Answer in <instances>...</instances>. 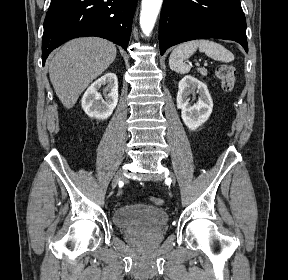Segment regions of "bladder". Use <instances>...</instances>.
I'll use <instances>...</instances> for the list:
<instances>
[{
    "mask_svg": "<svg viewBox=\"0 0 288 280\" xmlns=\"http://www.w3.org/2000/svg\"><path fill=\"white\" fill-rule=\"evenodd\" d=\"M112 220L121 229L161 231L167 225L169 216L162 208L134 204L117 208L113 212Z\"/></svg>",
    "mask_w": 288,
    "mask_h": 280,
    "instance_id": "1",
    "label": "bladder"
}]
</instances>
